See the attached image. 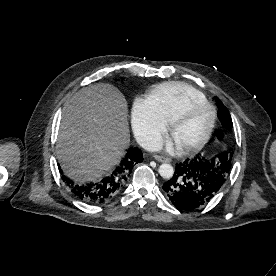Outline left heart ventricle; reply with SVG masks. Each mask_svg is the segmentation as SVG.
<instances>
[{"label": "left heart ventricle", "mask_w": 276, "mask_h": 276, "mask_svg": "<svg viewBox=\"0 0 276 276\" xmlns=\"http://www.w3.org/2000/svg\"><path fill=\"white\" fill-rule=\"evenodd\" d=\"M211 119V112L204 104L195 105L189 114L176 126L173 136L183 147L198 141L205 133Z\"/></svg>", "instance_id": "left-heart-ventricle-1"}]
</instances>
